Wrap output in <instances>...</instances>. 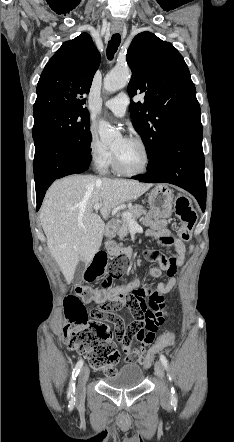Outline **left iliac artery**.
<instances>
[{"label": "left iliac artery", "mask_w": 234, "mask_h": 442, "mask_svg": "<svg viewBox=\"0 0 234 442\" xmlns=\"http://www.w3.org/2000/svg\"><path fill=\"white\" fill-rule=\"evenodd\" d=\"M160 360H161L162 364L164 365V367L166 369H168V361H167L166 357L164 355H160ZM171 402L173 404H177V394H176L174 388L171 389Z\"/></svg>", "instance_id": "obj_1"}]
</instances>
